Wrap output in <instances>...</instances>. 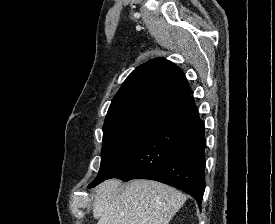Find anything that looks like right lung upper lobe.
I'll return each instance as SVG.
<instances>
[{"mask_svg": "<svg viewBox=\"0 0 275 224\" xmlns=\"http://www.w3.org/2000/svg\"><path fill=\"white\" fill-rule=\"evenodd\" d=\"M182 70L172 62L155 58L137 67L115 95L105 122L145 108L167 111L191 95Z\"/></svg>", "mask_w": 275, "mask_h": 224, "instance_id": "right-lung-upper-lobe-1", "label": "right lung upper lobe"}]
</instances>
